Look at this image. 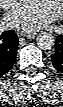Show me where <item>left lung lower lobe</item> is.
<instances>
[{"label": "left lung lower lobe", "mask_w": 63, "mask_h": 107, "mask_svg": "<svg viewBox=\"0 0 63 107\" xmlns=\"http://www.w3.org/2000/svg\"><path fill=\"white\" fill-rule=\"evenodd\" d=\"M56 52L52 56L54 68L63 73V34L58 36L55 43Z\"/></svg>", "instance_id": "obj_1"}]
</instances>
